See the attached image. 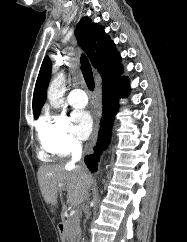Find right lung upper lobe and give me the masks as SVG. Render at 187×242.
<instances>
[{"instance_id":"obj_1","label":"right lung upper lobe","mask_w":187,"mask_h":242,"mask_svg":"<svg viewBox=\"0 0 187 242\" xmlns=\"http://www.w3.org/2000/svg\"><path fill=\"white\" fill-rule=\"evenodd\" d=\"M75 36L79 45L87 53L92 65L102 77V85L120 77L122 74L121 57L115 49L114 42L104 33L98 24L92 23L88 17H83L76 28ZM52 63L46 56L36 81L33 95L34 116H39L46 101L47 87L51 77Z\"/></svg>"}]
</instances>
